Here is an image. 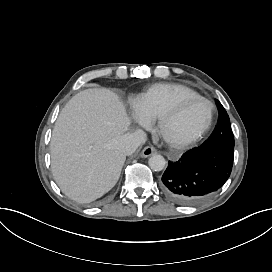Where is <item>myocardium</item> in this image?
I'll use <instances>...</instances> for the list:
<instances>
[{
  "instance_id": "f54148a6",
  "label": "myocardium",
  "mask_w": 272,
  "mask_h": 272,
  "mask_svg": "<svg viewBox=\"0 0 272 272\" xmlns=\"http://www.w3.org/2000/svg\"><path fill=\"white\" fill-rule=\"evenodd\" d=\"M192 101H202L204 102L207 107H208V118L206 123L200 127L199 129L191 132V133H182L179 131H175L173 130V132H169V128H170V124H169V120H168V115L165 114L162 117V123H161V128L163 133L166 136H169L173 139L174 142H176L177 144L180 145H184V144H188L194 140H196L197 138H199L200 136H202L205 132H207L209 130V128L211 127L213 120H214V115H215V106L214 104L207 99L204 96L201 95H193V96H188V97H184L183 99H181L178 104H176V106L173 109V113L175 114V117L178 116L179 114H181L185 108L187 107V105L189 103H191Z\"/></svg>"
}]
</instances>
